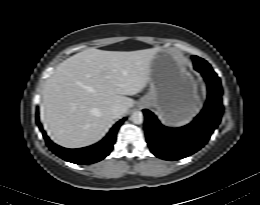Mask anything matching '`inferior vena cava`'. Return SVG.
<instances>
[{
	"mask_svg": "<svg viewBox=\"0 0 260 205\" xmlns=\"http://www.w3.org/2000/svg\"><path fill=\"white\" fill-rule=\"evenodd\" d=\"M126 109L124 106L122 105H115L111 108L110 110V114L114 117V118H119L121 117L124 113H125Z\"/></svg>",
	"mask_w": 260,
	"mask_h": 205,
	"instance_id": "1",
	"label": "inferior vena cava"
}]
</instances>
